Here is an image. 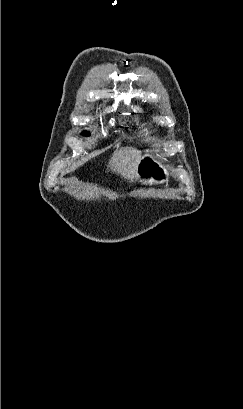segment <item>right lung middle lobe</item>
<instances>
[{
  "label": "right lung middle lobe",
  "instance_id": "dd1d6c3e",
  "mask_svg": "<svg viewBox=\"0 0 243 409\" xmlns=\"http://www.w3.org/2000/svg\"><path fill=\"white\" fill-rule=\"evenodd\" d=\"M83 135L89 136L90 134L87 132H83Z\"/></svg>",
  "mask_w": 243,
  "mask_h": 409
}]
</instances>
